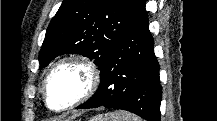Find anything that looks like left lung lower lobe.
<instances>
[{
	"label": "left lung lower lobe",
	"instance_id": "obj_1",
	"mask_svg": "<svg viewBox=\"0 0 217 121\" xmlns=\"http://www.w3.org/2000/svg\"><path fill=\"white\" fill-rule=\"evenodd\" d=\"M145 2L109 54L97 91L77 109L104 106L133 112L148 121H160L162 87Z\"/></svg>",
	"mask_w": 217,
	"mask_h": 121
}]
</instances>
